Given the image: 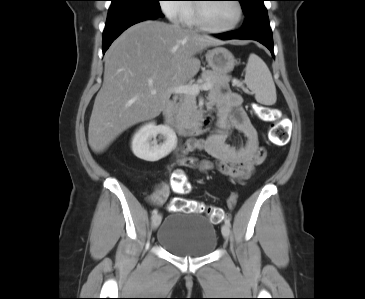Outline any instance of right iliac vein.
I'll return each mask as SVG.
<instances>
[{
    "mask_svg": "<svg viewBox=\"0 0 365 299\" xmlns=\"http://www.w3.org/2000/svg\"><path fill=\"white\" fill-rule=\"evenodd\" d=\"M162 220V216L161 214H156L155 216H153L152 218V227L154 229H157L161 223Z\"/></svg>",
    "mask_w": 365,
    "mask_h": 299,
    "instance_id": "right-iliac-vein-1",
    "label": "right iliac vein"
}]
</instances>
